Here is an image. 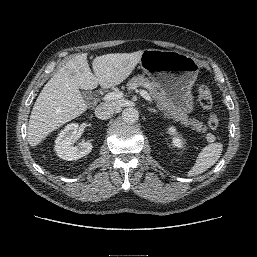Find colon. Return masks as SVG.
Returning a JSON list of instances; mask_svg holds the SVG:
<instances>
[{
  "label": "colon",
  "instance_id": "obj_1",
  "mask_svg": "<svg viewBox=\"0 0 257 257\" xmlns=\"http://www.w3.org/2000/svg\"><path fill=\"white\" fill-rule=\"evenodd\" d=\"M198 101L200 105L205 109H212L213 107V96L208 86L202 85L198 89ZM208 126L211 129H216L219 125V119L216 114L211 113L208 117Z\"/></svg>",
  "mask_w": 257,
  "mask_h": 257
}]
</instances>
